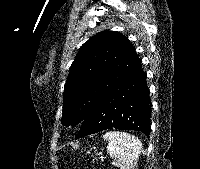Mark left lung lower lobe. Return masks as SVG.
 <instances>
[{
    "instance_id": "0a47b994",
    "label": "left lung lower lobe",
    "mask_w": 200,
    "mask_h": 169,
    "mask_svg": "<svg viewBox=\"0 0 200 169\" xmlns=\"http://www.w3.org/2000/svg\"><path fill=\"white\" fill-rule=\"evenodd\" d=\"M151 101L141 65L120 86L91 109L76 139L106 129L135 130L150 134Z\"/></svg>"
}]
</instances>
